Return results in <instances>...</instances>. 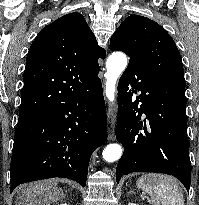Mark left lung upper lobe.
I'll list each match as a JSON object with an SVG mask.
<instances>
[{
  "label": "left lung upper lobe",
  "mask_w": 199,
  "mask_h": 205,
  "mask_svg": "<svg viewBox=\"0 0 199 205\" xmlns=\"http://www.w3.org/2000/svg\"><path fill=\"white\" fill-rule=\"evenodd\" d=\"M110 50L125 52L150 81L166 93L186 100L180 53L167 31L155 21L128 16L112 35Z\"/></svg>",
  "instance_id": "1"
}]
</instances>
